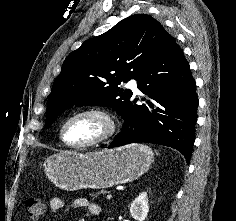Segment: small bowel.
<instances>
[{"label":"small bowel","mask_w":236,"mask_h":221,"mask_svg":"<svg viewBox=\"0 0 236 221\" xmlns=\"http://www.w3.org/2000/svg\"><path fill=\"white\" fill-rule=\"evenodd\" d=\"M65 206V202L61 197H53L50 199L49 207L53 212L62 210ZM72 206L74 208H85L92 216H98L101 214V206L98 203L90 202L88 199L79 197L73 200Z\"/></svg>","instance_id":"c3829d8e"}]
</instances>
